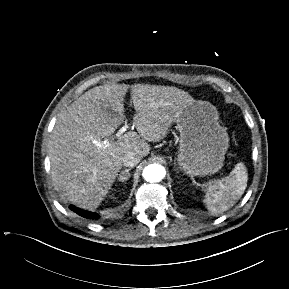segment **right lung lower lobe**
<instances>
[{"mask_svg": "<svg viewBox=\"0 0 289 289\" xmlns=\"http://www.w3.org/2000/svg\"><path fill=\"white\" fill-rule=\"evenodd\" d=\"M69 208L72 211L76 212L78 215L82 216V217H85V218H88V219H97V218H99V215L97 213H91V212H88V211H84V210L76 208V207H74L72 205Z\"/></svg>", "mask_w": 289, "mask_h": 289, "instance_id": "obj_1", "label": "right lung lower lobe"}]
</instances>
